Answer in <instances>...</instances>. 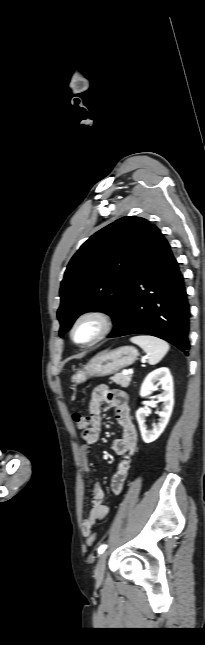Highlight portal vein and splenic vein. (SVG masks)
<instances>
[{
	"label": "portal vein and splenic vein",
	"instance_id": "18ae733b",
	"mask_svg": "<svg viewBox=\"0 0 205 645\" xmlns=\"http://www.w3.org/2000/svg\"><path fill=\"white\" fill-rule=\"evenodd\" d=\"M130 373H132V372H129V371H127V370H124V371H123V374H124V375H128V374H130Z\"/></svg>",
	"mask_w": 205,
	"mask_h": 645
}]
</instances>
